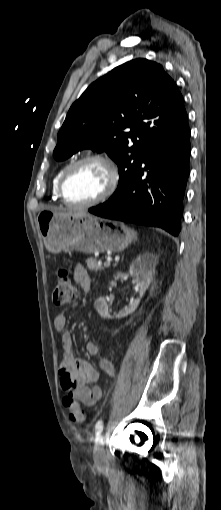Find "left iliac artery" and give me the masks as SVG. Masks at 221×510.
<instances>
[{
	"instance_id": "1",
	"label": "left iliac artery",
	"mask_w": 221,
	"mask_h": 510,
	"mask_svg": "<svg viewBox=\"0 0 221 510\" xmlns=\"http://www.w3.org/2000/svg\"><path fill=\"white\" fill-rule=\"evenodd\" d=\"M103 427H104V423L102 420H98L96 425H95V430H96V441L99 440L100 438V435L103 431Z\"/></svg>"
}]
</instances>
